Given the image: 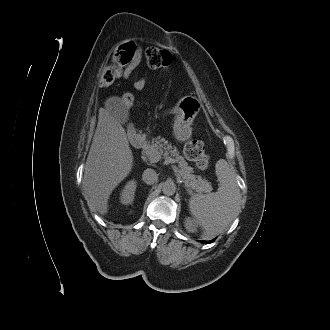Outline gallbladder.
<instances>
[{
	"mask_svg": "<svg viewBox=\"0 0 330 330\" xmlns=\"http://www.w3.org/2000/svg\"><path fill=\"white\" fill-rule=\"evenodd\" d=\"M115 113L118 116L121 123L128 122L129 112H128V109L126 108V106H124L122 103L119 104V106L117 107Z\"/></svg>",
	"mask_w": 330,
	"mask_h": 330,
	"instance_id": "bac80fb5",
	"label": "gallbladder"
}]
</instances>
